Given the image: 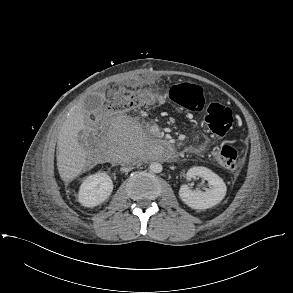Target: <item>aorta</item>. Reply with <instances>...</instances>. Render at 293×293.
I'll return each instance as SVG.
<instances>
[{"label":"aorta","mask_w":293,"mask_h":293,"mask_svg":"<svg viewBox=\"0 0 293 293\" xmlns=\"http://www.w3.org/2000/svg\"><path fill=\"white\" fill-rule=\"evenodd\" d=\"M149 169L154 173H160L163 170L162 165L159 162H152Z\"/></svg>","instance_id":"aorta-1"}]
</instances>
